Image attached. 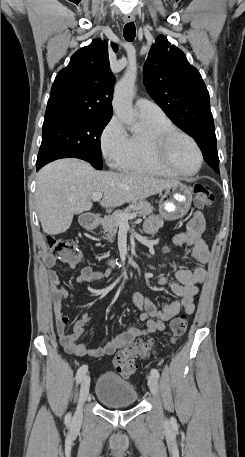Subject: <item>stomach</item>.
Wrapping results in <instances>:
<instances>
[{"label": "stomach", "mask_w": 245, "mask_h": 457, "mask_svg": "<svg viewBox=\"0 0 245 457\" xmlns=\"http://www.w3.org/2000/svg\"><path fill=\"white\" fill-rule=\"evenodd\" d=\"M192 202V192L190 186L183 182L171 184L165 188L159 202V212L166 220H176L182 218L190 208ZM87 226H92L93 222H82Z\"/></svg>", "instance_id": "obj_1"}]
</instances>
